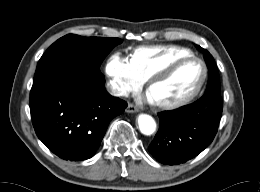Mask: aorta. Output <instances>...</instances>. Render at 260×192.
Listing matches in <instances>:
<instances>
[{"label": "aorta", "instance_id": "1", "mask_svg": "<svg viewBox=\"0 0 260 192\" xmlns=\"http://www.w3.org/2000/svg\"><path fill=\"white\" fill-rule=\"evenodd\" d=\"M139 130L144 135H152L156 131V122L152 116L148 114H140L138 116Z\"/></svg>", "mask_w": 260, "mask_h": 192}]
</instances>
